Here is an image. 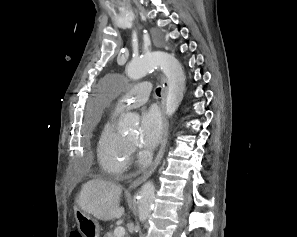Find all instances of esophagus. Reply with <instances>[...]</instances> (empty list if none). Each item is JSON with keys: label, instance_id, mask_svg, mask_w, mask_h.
<instances>
[{"label": "esophagus", "instance_id": "1", "mask_svg": "<svg viewBox=\"0 0 297 237\" xmlns=\"http://www.w3.org/2000/svg\"><path fill=\"white\" fill-rule=\"evenodd\" d=\"M166 90H167L166 85H164V89L162 92V100H161V110H162V114H163V118H164V128H163V139H162V143H161L159 152H158L157 157H156L153 165L151 166V168L148 171L144 172V174L141 177L134 180L129 186L130 189H134V188L138 187L142 182H144L154 172V170L160 163L161 158L166 150V147L168 144V138H169V123L165 117Z\"/></svg>", "mask_w": 297, "mask_h": 237}]
</instances>
